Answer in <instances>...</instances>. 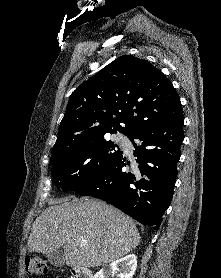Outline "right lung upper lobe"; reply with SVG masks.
<instances>
[{
  "instance_id": "right-lung-upper-lobe-1",
  "label": "right lung upper lobe",
  "mask_w": 221,
  "mask_h": 278,
  "mask_svg": "<svg viewBox=\"0 0 221 278\" xmlns=\"http://www.w3.org/2000/svg\"><path fill=\"white\" fill-rule=\"evenodd\" d=\"M180 115V99L164 74L146 60L123 55L71 94L53 151L107 132L128 136Z\"/></svg>"
}]
</instances>
